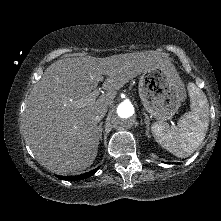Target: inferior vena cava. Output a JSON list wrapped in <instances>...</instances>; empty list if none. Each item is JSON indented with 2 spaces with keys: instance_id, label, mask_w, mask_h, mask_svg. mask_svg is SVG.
I'll return each mask as SVG.
<instances>
[{
  "instance_id": "602c4592",
  "label": "inferior vena cava",
  "mask_w": 221,
  "mask_h": 221,
  "mask_svg": "<svg viewBox=\"0 0 221 221\" xmlns=\"http://www.w3.org/2000/svg\"><path fill=\"white\" fill-rule=\"evenodd\" d=\"M106 112H107V108H102L101 110H99V112L97 113V115L95 117L96 121L99 122L101 119H103Z\"/></svg>"
}]
</instances>
